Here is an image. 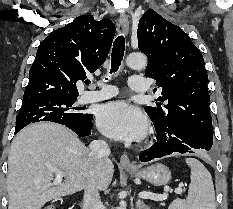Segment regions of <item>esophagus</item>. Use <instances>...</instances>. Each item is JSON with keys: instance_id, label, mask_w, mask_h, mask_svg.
<instances>
[{"instance_id": "1", "label": "esophagus", "mask_w": 233, "mask_h": 209, "mask_svg": "<svg viewBox=\"0 0 233 209\" xmlns=\"http://www.w3.org/2000/svg\"><path fill=\"white\" fill-rule=\"evenodd\" d=\"M119 25L122 32L127 35L129 31V21L125 13H120ZM120 164L125 168H134L135 166L130 162L129 157L126 153L122 154L120 157Z\"/></svg>"}]
</instances>
